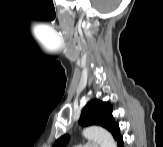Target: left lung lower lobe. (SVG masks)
<instances>
[{
	"mask_svg": "<svg viewBox=\"0 0 163 147\" xmlns=\"http://www.w3.org/2000/svg\"><path fill=\"white\" fill-rule=\"evenodd\" d=\"M115 140L117 141L118 147H123V137L120 133L115 137Z\"/></svg>",
	"mask_w": 163,
	"mask_h": 147,
	"instance_id": "0a47b994",
	"label": "left lung lower lobe"
}]
</instances>
